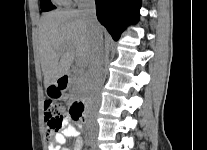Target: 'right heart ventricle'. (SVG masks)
Masks as SVG:
<instances>
[{
	"instance_id": "1",
	"label": "right heart ventricle",
	"mask_w": 207,
	"mask_h": 150,
	"mask_svg": "<svg viewBox=\"0 0 207 150\" xmlns=\"http://www.w3.org/2000/svg\"><path fill=\"white\" fill-rule=\"evenodd\" d=\"M55 2L58 3V4H65L66 3L65 0H55Z\"/></svg>"
}]
</instances>
